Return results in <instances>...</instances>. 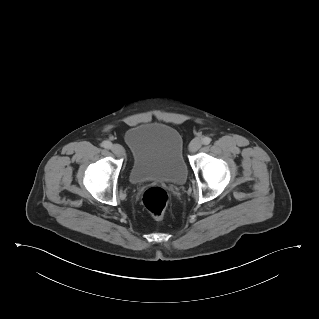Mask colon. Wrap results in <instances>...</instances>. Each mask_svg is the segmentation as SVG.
<instances>
[{
	"label": "colon",
	"instance_id": "colon-1",
	"mask_svg": "<svg viewBox=\"0 0 319 319\" xmlns=\"http://www.w3.org/2000/svg\"><path fill=\"white\" fill-rule=\"evenodd\" d=\"M169 202L168 193L159 186L148 188L143 195V204L156 219L164 217Z\"/></svg>",
	"mask_w": 319,
	"mask_h": 319
}]
</instances>
